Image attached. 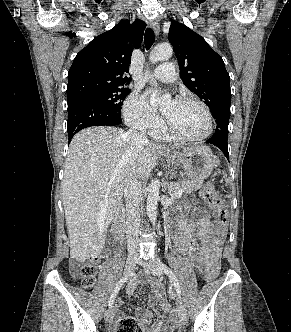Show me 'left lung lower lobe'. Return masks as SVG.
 Listing matches in <instances>:
<instances>
[{
  "instance_id": "0a47b994",
  "label": "left lung lower lobe",
  "mask_w": 291,
  "mask_h": 332,
  "mask_svg": "<svg viewBox=\"0 0 291 332\" xmlns=\"http://www.w3.org/2000/svg\"><path fill=\"white\" fill-rule=\"evenodd\" d=\"M213 117L217 123V128L215 134L207 142L217 146L220 150H222L229 160L227 138L230 107H221L213 114Z\"/></svg>"
}]
</instances>
